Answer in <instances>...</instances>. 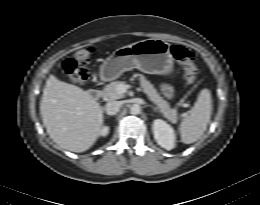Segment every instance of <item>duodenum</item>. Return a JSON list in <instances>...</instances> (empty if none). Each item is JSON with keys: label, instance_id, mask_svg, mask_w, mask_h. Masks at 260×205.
<instances>
[{"label": "duodenum", "instance_id": "1", "mask_svg": "<svg viewBox=\"0 0 260 205\" xmlns=\"http://www.w3.org/2000/svg\"><path fill=\"white\" fill-rule=\"evenodd\" d=\"M89 97L92 100H98L101 97V92L98 90H91V91H89Z\"/></svg>", "mask_w": 260, "mask_h": 205}]
</instances>
